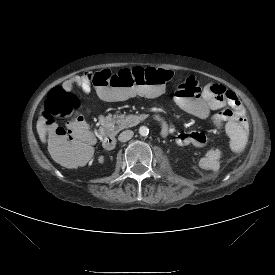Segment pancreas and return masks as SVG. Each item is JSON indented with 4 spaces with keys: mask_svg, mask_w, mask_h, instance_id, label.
I'll use <instances>...</instances> for the list:
<instances>
[{
    "mask_svg": "<svg viewBox=\"0 0 275 275\" xmlns=\"http://www.w3.org/2000/svg\"><path fill=\"white\" fill-rule=\"evenodd\" d=\"M141 120L140 115H126L124 114H119V115H114L113 122L116 123V129L118 131L123 130L128 127H133L137 125Z\"/></svg>",
    "mask_w": 275,
    "mask_h": 275,
    "instance_id": "cf45deb5",
    "label": "pancreas"
}]
</instances>
